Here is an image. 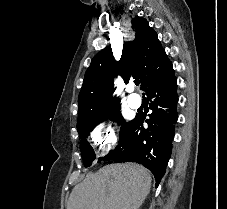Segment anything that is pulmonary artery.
<instances>
[{
	"label": "pulmonary artery",
	"instance_id": "e3ab8cb5",
	"mask_svg": "<svg viewBox=\"0 0 227 209\" xmlns=\"http://www.w3.org/2000/svg\"><path fill=\"white\" fill-rule=\"evenodd\" d=\"M127 92H129L127 103L133 108L140 107L143 102V97L138 94L136 87H127Z\"/></svg>",
	"mask_w": 227,
	"mask_h": 209
}]
</instances>
